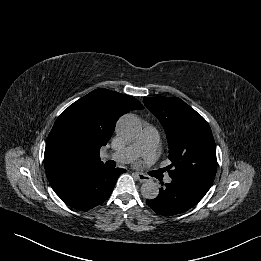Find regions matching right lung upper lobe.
<instances>
[{"label": "right lung upper lobe", "instance_id": "cb5924a9", "mask_svg": "<svg viewBox=\"0 0 261 261\" xmlns=\"http://www.w3.org/2000/svg\"><path fill=\"white\" fill-rule=\"evenodd\" d=\"M135 109H144L137 99L99 88L63 111L45 147L44 166L50 184L102 164L101 146L111 138L117 120Z\"/></svg>", "mask_w": 261, "mask_h": 261}]
</instances>
